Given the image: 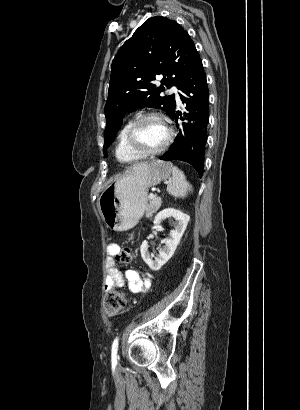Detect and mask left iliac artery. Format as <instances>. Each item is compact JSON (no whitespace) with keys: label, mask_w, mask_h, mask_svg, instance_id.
Segmentation results:
<instances>
[{"label":"left iliac artery","mask_w":300,"mask_h":410,"mask_svg":"<svg viewBox=\"0 0 300 410\" xmlns=\"http://www.w3.org/2000/svg\"><path fill=\"white\" fill-rule=\"evenodd\" d=\"M118 347H119V338L116 337V338L114 339V341H113V344H112L111 357H112V361H113V362H117Z\"/></svg>","instance_id":"left-iliac-artery-1"}]
</instances>
